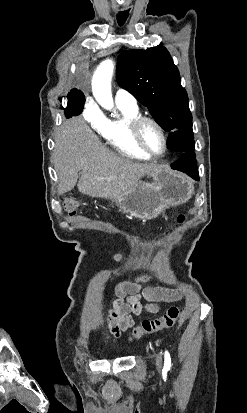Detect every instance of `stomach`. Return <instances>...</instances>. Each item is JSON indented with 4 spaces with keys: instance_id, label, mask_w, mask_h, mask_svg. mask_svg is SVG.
Instances as JSON below:
<instances>
[{
    "instance_id": "stomach-1",
    "label": "stomach",
    "mask_w": 247,
    "mask_h": 413,
    "mask_svg": "<svg viewBox=\"0 0 247 413\" xmlns=\"http://www.w3.org/2000/svg\"><path fill=\"white\" fill-rule=\"evenodd\" d=\"M148 176L150 182L138 180L118 198L109 196L122 213L136 219H155L164 209L178 207L194 194L192 178L169 166H158Z\"/></svg>"
}]
</instances>
